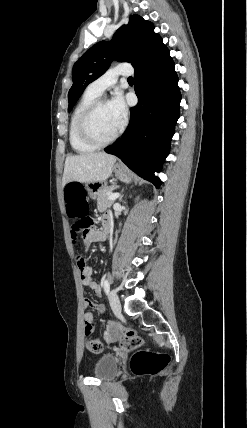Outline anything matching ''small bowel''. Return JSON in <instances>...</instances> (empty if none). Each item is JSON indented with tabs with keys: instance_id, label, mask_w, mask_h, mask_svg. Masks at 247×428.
Returning <instances> with one entry per match:
<instances>
[{
	"instance_id": "c3829d8e",
	"label": "small bowel",
	"mask_w": 247,
	"mask_h": 428,
	"mask_svg": "<svg viewBox=\"0 0 247 428\" xmlns=\"http://www.w3.org/2000/svg\"><path fill=\"white\" fill-rule=\"evenodd\" d=\"M107 218H109V217L104 216L102 220L104 221ZM105 237H106V235L102 233L101 229H93L92 228V229H89V231H87L85 233L84 242L86 244H89L92 242L103 240ZM78 267L80 269V278H81V282H82L83 286L90 288L96 297H101L102 288L99 285V283L96 282L95 280H93V278H92V272H93L92 267L86 265L85 263L83 266H78ZM84 300H89V299L86 298ZM89 301H91V300H89ZM83 308L85 310L84 320H85V318L90 317L94 321L93 314L90 311H88L89 306L83 305ZM106 337L108 340L113 339V337L111 335H107Z\"/></svg>"
}]
</instances>
